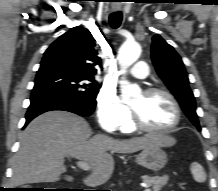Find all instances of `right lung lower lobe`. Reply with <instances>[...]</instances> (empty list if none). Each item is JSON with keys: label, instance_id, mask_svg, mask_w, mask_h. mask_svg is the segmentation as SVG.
Segmentation results:
<instances>
[{"label": "right lung lower lobe", "instance_id": "98d812e1", "mask_svg": "<svg viewBox=\"0 0 218 191\" xmlns=\"http://www.w3.org/2000/svg\"><path fill=\"white\" fill-rule=\"evenodd\" d=\"M95 105L56 90L42 89L33 91L31 103L26 113L25 126L38 115L52 110H63L80 116H90Z\"/></svg>", "mask_w": 218, "mask_h": 191}]
</instances>
